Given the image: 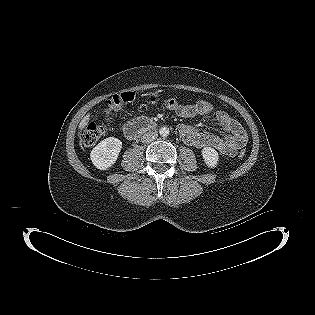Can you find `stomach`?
Instances as JSON below:
<instances>
[{
  "instance_id": "1",
  "label": "stomach",
  "mask_w": 315,
  "mask_h": 315,
  "mask_svg": "<svg viewBox=\"0 0 315 315\" xmlns=\"http://www.w3.org/2000/svg\"><path fill=\"white\" fill-rule=\"evenodd\" d=\"M156 97H157V94H155V93H152V94H151V99H154V100H155Z\"/></svg>"
}]
</instances>
